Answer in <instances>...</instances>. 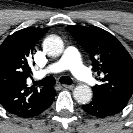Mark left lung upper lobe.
<instances>
[{"instance_id": "obj_1", "label": "left lung upper lobe", "mask_w": 133, "mask_h": 133, "mask_svg": "<svg viewBox=\"0 0 133 133\" xmlns=\"http://www.w3.org/2000/svg\"><path fill=\"white\" fill-rule=\"evenodd\" d=\"M68 31L89 53L100 84L93 87L94 97L125 107L133 94V59L107 31L96 27L68 26Z\"/></svg>"}]
</instances>
